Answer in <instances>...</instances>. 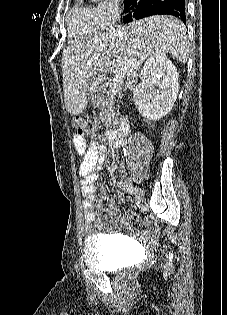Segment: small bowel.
Here are the masks:
<instances>
[{
    "instance_id": "small-bowel-1",
    "label": "small bowel",
    "mask_w": 227,
    "mask_h": 315,
    "mask_svg": "<svg viewBox=\"0 0 227 315\" xmlns=\"http://www.w3.org/2000/svg\"><path fill=\"white\" fill-rule=\"evenodd\" d=\"M72 143L75 151L79 155V176L81 184V192L83 195L82 209L84 215V230L88 234H95L98 232L99 226L96 222L97 212H102L101 205L95 206L96 201L101 202L104 199L103 195H97L95 181L97 177V171L100 169L102 163H109L106 160L107 148L100 146L96 142H91L89 145L86 143V139L83 136L74 134L72 137ZM104 213L113 217L117 213V206L114 200L109 201L108 207L104 210ZM128 219L133 220L138 224H142L141 218L134 212H127ZM152 236L151 231L144 233L145 238Z\"/></svg>"
}]
</instances>
